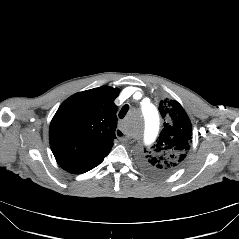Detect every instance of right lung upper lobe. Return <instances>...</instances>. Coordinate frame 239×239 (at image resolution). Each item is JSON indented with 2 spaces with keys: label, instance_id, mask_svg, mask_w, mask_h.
Masks as SVG:
<instances>
[{
  "label": "right lung upper lobe",
  "instance_id": "cb5924a9",
  "mask_svg": "<svg viewBox=\"0 0 239 239\" xmlns=\"http://www.w3.org/2000/svg\"><path fill=\"white\" fill-rule=\"evenodd\" d=\"M119 89L108 86L82 91L65 100L49 128L57 163L74 174L99 165L113 146Z\"/></svg>",
  "mask_w": 239,
  "mask_h": 239
}]
</instances>
